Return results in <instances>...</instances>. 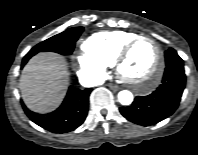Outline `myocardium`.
Wrapping results in <instances>:
<instances>
[{"instance_id":"f54148a6","label":"myocardium","mask_w":198,"mask_h":155,"mask_svg":"<svg viewBox=\"0 0 198 155\" xmlns=\"http://www.w3.org/2000/svg\"><path fill=\"white\" fill-rule=\"evenodd\" d=\"M150 41L156 50V60L152 71L150 72L149 76L142 80V81H135L133 79L128 78L125 76L121 70V65L124 60L128 57L132 48L140 41ZM164 63V55L159 43L150 36L139 35L128 42L119 50L117 55L114 58L113 65L115 67L116 73L118 77L126 84L131 86L133 89L139 92H148L152 90L159 82L161 77V72Z\"/></svg>"}]
</instances>
